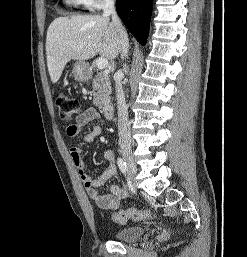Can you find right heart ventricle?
Here are the masks:
<instances>
[{
  "label": "right heart ventricle",
  "mask_w": 247,
  "mask_h": 257,
  "mask_svg": "<svg viewBox=\"0 0 247 257\" xmlns=\"http://www.w3.org/2000/svg\"><path fill=\"white\" fill-rule=\"evenodd\" d=\"M68 5H71V6H80L81 3L79 0H64Z\"/></svg>",
  "instance_id": "e07e8e85"
}]
</instances>
